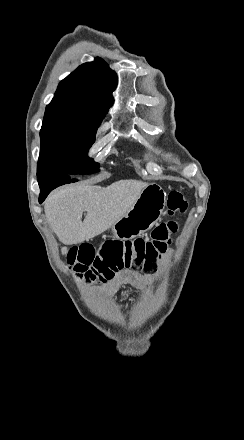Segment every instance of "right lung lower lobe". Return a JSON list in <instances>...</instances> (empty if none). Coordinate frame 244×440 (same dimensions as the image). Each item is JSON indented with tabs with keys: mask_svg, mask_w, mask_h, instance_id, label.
Listing matches in <instances>:
<instances>
[{
	"mask_svg": "<svg viewBox=\"0 0 244 440\" xmlns=\"http://www.w3.org/2000/svg\"><path fill=\"white\" fill-rule=\"evenodd\" d=\"M75 181H77V179L71 175H47L38 178L40 187L39 203H42L47 195L56 187Z\"/></svg>",
	"mask_w": 244,
	"mask_h": 440,
	"instance_id": "obj_1",
	"label": "right lung lower lobe"
}]
</instances>
